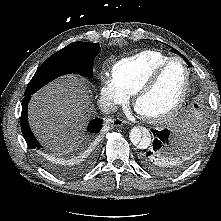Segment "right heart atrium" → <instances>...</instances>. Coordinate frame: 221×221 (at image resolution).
I'll list each match as a JSON object with an SVG mask.
<instances>
[{"label": "right heart atrium", "instance_id": "obj_1", "mask_svg": "<svg viewBox=\"0 0 221 221\" xmlns=\"http://www.w3.org/2000/svg\"><path fill=\"white\" fill-rule=\"evenodd\" d=\"M100 98L103 104L113 109L127 103L129 95L122 89L118 82L110 76L102 75L100 79Z\"/></svg>", "mask_w": 221, "mask_h": 221}]
</instances>
